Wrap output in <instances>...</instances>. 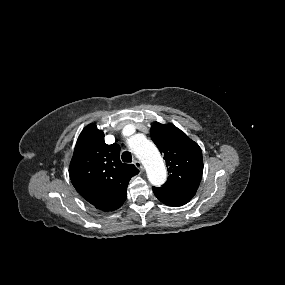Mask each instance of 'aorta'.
I'll return each mask as SVG.
<instances>
[{
  "label": "aorta",
  "instance_id": "obj_1",
  "mask_svg": "<svg viewBox=\"0 0 285 285\" xmlns=\"http://www.w3.org/2000/svg\"><path fill=\"white\" fill-rule=\"evenodd\" d=\"M128 144L134 154L145 166L147 177L154 186H161L166 182L167 173L163 159L156 146L142 134H135Z\"/></svg>",
  "mask_w": 285,
  "mask_h": 285
}]
</instances>
